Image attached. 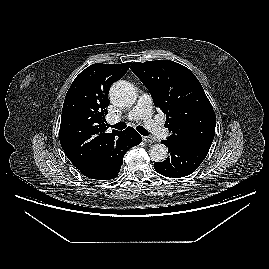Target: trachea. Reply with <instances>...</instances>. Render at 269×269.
Instances as JSON below:
<instances>
[{"label": "trachea", "instance_id": "3493384b", "mask_svg": "<svg viewBox=\"0 0 269 269\" xmlns=\"http://www.w3.org/2000/svg\"><path fill=\"white\" fill-rule=\"evenodd\" d=\"M126 126L127 125L125 122H119V123H116L115 125H109V127H112L118 130L125 129ZM137 131L144 136H147L149 134L148 131L145 128H143V126H137Z\"/></svg>", "mask_w": 269, "mask_h": 269}]
</instances>
